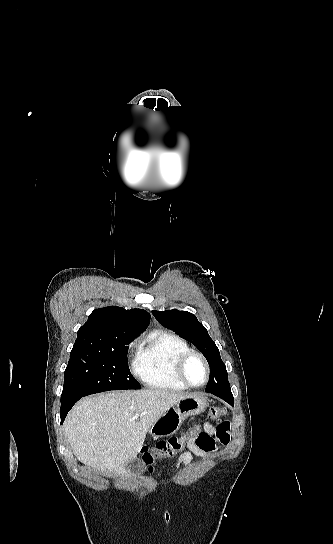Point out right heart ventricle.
<instances>
[{"instance_id": "e07e8e85", "label": "right heart ventricle", "mask_w": 333, "mask_h": 544, "mask_svg": "<svg viewBox=\"0 0 333 544\" xmlns=\"http://www.w3.org/2000/svg\"><path fill=\"white\" fill-rule=\"evenodd\" d=\"M190 350L180 336L166 331H154L139 344L134 369L139 380L147 387L162 390H185L175 375L177 358Z\"/></svg>"}]
</instances>
